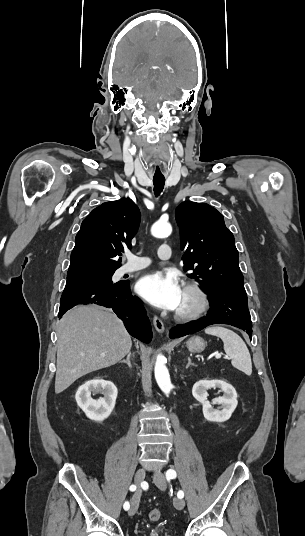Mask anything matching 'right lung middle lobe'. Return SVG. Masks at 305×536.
I'll return each mask as SVG.
<instances>
[{
	"instance_id": "dd1d6c3e",
	"label": "right lung middle lobe",
	"mask_w": 305,
	"mask_h": 536,
	"mask_svg": "<svg viewBox=\"0 0 305 536\" xmlns=\"http://www.w3.org/2000/svg\"><path fill=\"white\" fill-rule=\"evenodd\" d=\"M114 272L115 270L89 274V275H83V276L70 277V278H67L66 285L92 284V285H98V286H104V287H111L113 285L119 284V283L113 284L112 282V275L114 274Z\"/></svg>"
}]
</instances>
